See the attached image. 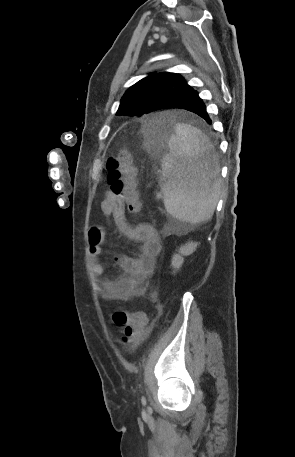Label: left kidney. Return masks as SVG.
<instances>
[{
	"label": "left kidney",
	"mask_w": 295,
	"mask_h": 457,
	"mask_svg": "<svg viewBox=\"0 0 295 457\" xmlns=\"http://www.w3.org/2000/svg\"><path fill=\"white\" fill-rule=\"evenodd\" d=\"M197 247V243L188 242L185 245L181 246L178 250V254H174L172 257L171 265L173 268H180L184 262L183 256L192 254Z\"/></svg>",
	"instance_id": "5707ae66"
}]
</instances>
